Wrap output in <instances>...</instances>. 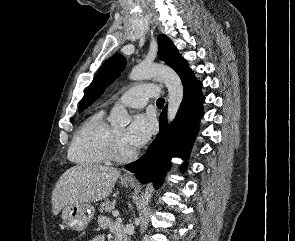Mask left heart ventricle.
Masks as SVG:
<instances>
[{
  "label": "left heart ventricle",
  "mask_w": 295,
  "mask_h": 241,
  "mask_svg": "<svg viewBox=\"0 0 295 241\" xmlns=\"http://www.w3.org/2000/svg\"><path fill=\"white\" fill-rule=\"evenodd\" d=\"M113 131L117 137V140L119 142L121 150L123 152H132L133 149L130 148L124 140V134H125L126 129L125 128H115Z\"/></svg>",
  "instance_id": "left-heart-ventricle-1"
}]
</instances>
